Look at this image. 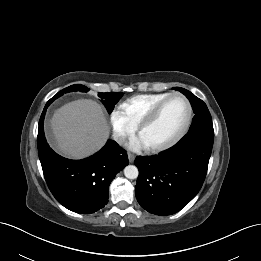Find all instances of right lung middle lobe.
Returning a JSON list of instances; mask_svg holds the SVG:
<instances>
[{
	"label": "right lung middle lobe",
	"mask_w": 261,
	"mask_h": 261,
	"mask_svg": "<svg viewBox=\"0 0 261 261\" xmlns=\"http://www.w3.org/2000/svg\"><path fill=\"white\" fill-rule=\"evenodd\" d=\"M88 90L89 89L84 85H71V86L63 89V92L59 91L53 97V99L60 97L61 95H63L64 92L65 93L72 92V91L86 92ZM122 95H123V93H121V92L99 93V96L102 99L101 101L109 113H111L113 111L115 104L120 100Z\"/></svg>",
	"instance_id": "obj_1"
}]
</instances>
